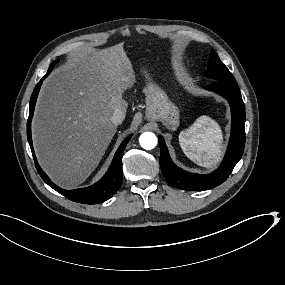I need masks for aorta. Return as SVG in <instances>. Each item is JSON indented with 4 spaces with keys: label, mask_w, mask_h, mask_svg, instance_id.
<instances>
[{
    "label": "aorta",
    "mask_w": 285,
    "mask_h": 285,
    "mask_svg": "<svg viewBox=\"0 0 285 285\" xmlns=\"http://www.w3.org/2000/svg\"><path fill=\"white\" fill-rule=\"evenodd\" d=\"M139 142L142 148L151 150L156 147L158 140L154 133L144 132L141 134Z\"/></svg>",
    "instance_id": "1"
}]
</instances>
